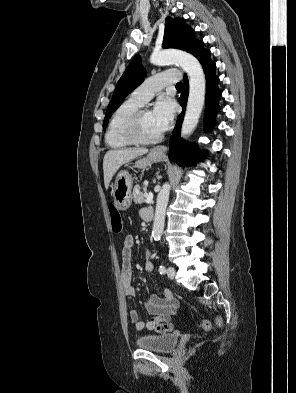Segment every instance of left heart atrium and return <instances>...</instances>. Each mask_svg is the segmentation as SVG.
<instances>
[{
  "label": "left heart atrium",
  "mask_w": 296,
  "mask_h": 393,
  "mask_svg": "<svg viewBox=\"0 0 296 393\" xmlns=\"http://www.w3.org/2000/svg\"><path fill=\"white\" fill-rule=\"evenodd\" d=\"M151 115L155 127L162 133L169 128L174 118V105L166 98L160 99L155 103Z\"/></svg>",
  "instance_id": "39dd6f15"
}]
</instances>
